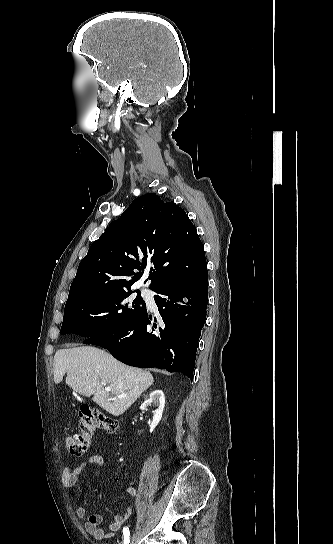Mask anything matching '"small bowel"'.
<instances>
[{
  "mask_svg": "<svg viewBox=\"0 0 333 544\" xmlns=\"http://www.w3.org/2000/svg\"><path fill=\"white\" fill-rule=\"evenodd\" d=\"M103 464L104 458L102 455L92 454L74 468L64 466L61 475L63 489L66 492L72 490L75 487L79 477L87 467L99 468L102 467ZM126 492L130 497L136 496V489L132 486L127 487ZM132 512L133 508L131 506L127 507L122 514L115 515L111 523L107 526V528H105L101 525L103 522V516L101 514L95 513L88 515L85 507H78L75 511L76 516L79 519H86V530L98 540L112 537L114 533L119 531L122 525L130 518Z\"/></svg>",
  "mask_w": 333,
  "mask_h": 544,
  "instance_id": "obj_1",
  "label": "small bowel"
}]
</instances>
